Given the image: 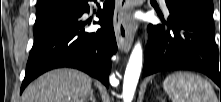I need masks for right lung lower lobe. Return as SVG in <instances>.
<instances>
[{"instance_id":"obj_1","label":"right lung lower lobe","mask_w":221,"mask_h":102,"mask_svg":"<svg viewBox=\"0 0 221 102\" xmlns=\"http://www.w3.org/2000/svg\"><path fill=\"white\" fill-rule=\"evenodd\" d=\"M87 2L78 0L73 12L34 34L20 93L33 79L59 67L80 69L109 86L111 56L117 51L113 29L114 0L106 1L103 9L99 8L97 16L101 28L96 32H86L85 22L80 19L85 12L89 13Z\"/></svg>"}]
</instances>
